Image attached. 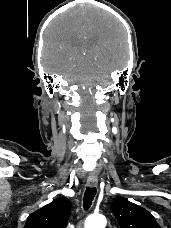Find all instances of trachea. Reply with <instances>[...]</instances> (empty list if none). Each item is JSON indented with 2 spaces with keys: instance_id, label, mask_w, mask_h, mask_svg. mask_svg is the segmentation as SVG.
<instances>
[{
  "instance_id": "obj_1",
  "label": "trachea",
  "mask_w": 171,
  "mask_h": 228,
  "mask_svg": "<svg viewBox=\"0 0 171 228\" xmlns=\"http://www.w3.org/2000/svg\"><path fill=\"white\" fill-rule=\"evenodd\" d=\"M96 188H86V191L84 193V198H83V207L85 210H88L92 204V201L96 195Z\"/></svg>"
}]
</instances>
